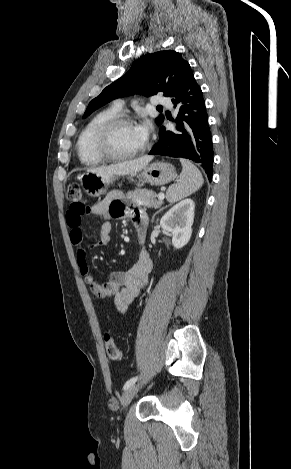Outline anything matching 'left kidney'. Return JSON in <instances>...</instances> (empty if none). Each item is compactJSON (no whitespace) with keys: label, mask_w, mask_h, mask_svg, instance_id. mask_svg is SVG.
<instances>
[{"label":"left kidney","mask_w":291,"mask_h":469,"mask_svg":"<svg viewBox=\"0 0 291 469\" xmlns=\"http://www.w3.org/2000/svg\"><path fill=\"white\" fill-rule=\"evenodd\" d=\"M195 205L185 199L170 208L160 220L161 227L172 234V244L176 249L185 246L192 234Z\"/></svg>","instance_id":"1"}]
</instances>
